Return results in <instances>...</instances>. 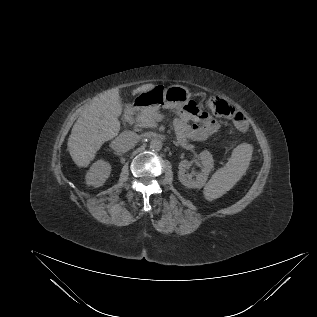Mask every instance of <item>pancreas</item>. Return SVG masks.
I'll return each instance as SVG.
<instances>
[{"label": "pancreas", "mask_w": 317, "mask_h": 317, "mask_svg": "<svg viewBox=\"0 0 317 317\" xmlns=\"http://www.w3.org/2000/svg\"><path fill=\"white\" fill-rule=\"evenodd\" d=\"M157 115H158V108L156 107H148V108L142 109L136 117L137 126L142 128L156 127Z\"/></svg>", "instance_id": "1"}]
</instances>
